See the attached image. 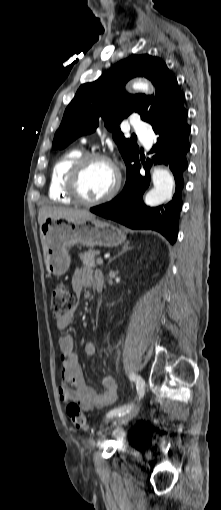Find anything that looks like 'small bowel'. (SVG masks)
I'll use <instances>...</instances> for the list:
<instances>
[{
	"instance_id": "1",
	"label": "small bowel",
	"mask_w": 221,
	"mask_h": 510,
	"mask_svg": "<svg viewBox=\"0 0 221 510\" xmlns=\"http://www.w3.org/2000/svg\"><path fill=\"white\" fill-rule=\"evenodd\" d=\"M96 272L90 267L77 269L71 280L73 291L79 295L84 288L95 284ZM75 323V310H72L56 321L60 330L68 329ZM60 362L62 367V384L58 388V396L63 402L78 403L86 412L100 410L110 406L117 398V386L114 379L104 375L100 379V389L96 390L86 383L79 357L74 349V339L63 335L59 339ZM92 342L85 344L84 353L92 356L95 353Z\"/></svg>"
}]
</instances>
